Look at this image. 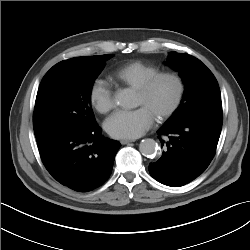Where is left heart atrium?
Wrapping results in <instances>:
<instances>
[{
  "label": "left heart atrium",
  "mask_w": 250,
  "mask_h": 250,
  "mask_svg": "<svg viewBox=\"0 0 250 250\" xmlns=\"http://www.w3.org/2000/svg\"><path fill=\"white\" fill-rule=\"evenodd\" d=\"M154 116L144 106L134 110H119L105 122L106 131L114 138L135 139L153 124Z\"/></svg>",
  "instance_id": "1"
}]
</instances>
